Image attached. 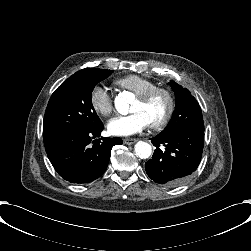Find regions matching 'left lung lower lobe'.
<instances>
[{
  "instance_id": "obj_1",
  "label": "left lung lower lobe",
  "mask_w": 251,
  "mask_h": 251,
  "mask_svg": "<svg viewBox=\"0 0 251 251\" xmlns=\"http://www.w3.org/2000/svg\"><path fill=\"white\" fill-rule=\"evenodd\" d=\"M156 147L152 159L145 163L147 175L158 184L177 186L198 167L204 146V131L181 130L167 136L151 138ZM164 146V149L160 147Z\"/></svg>"
}]
</instances>
